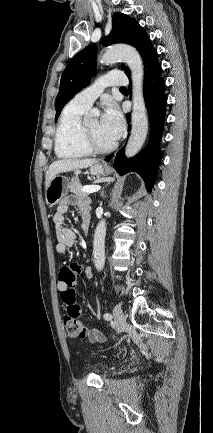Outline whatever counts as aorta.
Masks as SVG:
<instances>
[{
	"label": "aorta",
	"mask_w": 213,
	"mask_h": 433,
	"mask_svg": "<svg viewBox=\"0 0 213 433\" xmlns=\"http://www.w3.org/2000/svg\"><path fill=\"white\" fill-rule=\"evenodd\" d=\"M119 59L123 60L131 71L133 102L131 116L132 128L125 149V155L127 157H133L143 146L148 131L147 110L143 96L144 67L138 51L126 45L108 48L100 58V62L103 64H111ZM105 236L106 221L102 219L96 227L93 241L94 264L98 271L103 270L105 265Z\"/></svg>",
	"instance_id": "aorta-1"
}]
</instances>
